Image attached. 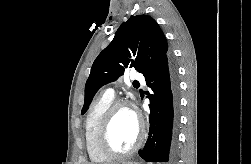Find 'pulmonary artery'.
Listing matches in <instances>:
<instances>
[{
  "instance_id": "obj_1",
  "label": "pulmonary artery",
  "mask_w": 251,
  "mask_h": 164,
  "mask_svg": "<svg viewBox=\"0 0 251 164\" xmlns=\"http://www.w3.org/2000/svg\"><path fill=\"white\" fill-rule=\"evenodd\" d=\"M131 77H132V79H135L138 81H143V76L140 73L134 72ZM104 95L114 97L115 91L113 88H108V89H106Z\"/></svg>"
}]
</instances>
